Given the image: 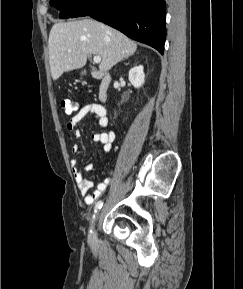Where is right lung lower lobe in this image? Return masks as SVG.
<instances>
[{"label":"right lung lower lobe","instance_id":"98d812e1","mask_svg":"<svg viewBox=\"0 0 243 289\" xmlns=\"http://www.w3.org/2000/svg\"><path fill=\"white\" fill-rule=\"evenodd\" d=\"M80 16H90L164 52L165 0H89L70 17Z\"/></svg>","mask_w":243,"mask_h":289}]
</instances>
